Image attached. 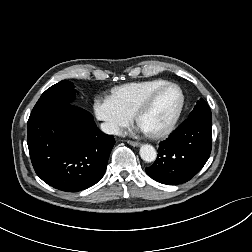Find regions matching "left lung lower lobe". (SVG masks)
<instances>
[{"label":"left lung lower lobe","instance_id":"obj_1","mask_svg":"<svg viewBox=\"0 0 252 252\" xmlns=\"http://www.w3.org/2000/svg\"><path fill=\"white\" fill-rule=\"evenodd\" d=\"M212 118L191 117L159 143L158 155L147 174L155 181L176 185L189 181L207 162L211 152Z\"/></svg>","mask_w":252,"mask_h":252}]
</instances>
